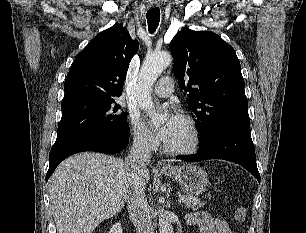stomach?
<instances>
[{
	"label": "stomach",
	"instance_id": "1",
	"mask_svg": "<svg viewBox=\"0 0 306 233\" xmlns=\"http://www.w3.org/2000/svg\"><path fill=\"white\" fill-rule=\"evenodd\" d=\"M161 172L173 178L187 194L193 196L204 193L209 184L207 173L195 164H183Z\"/></svg>",
	"mask_w": 306,
	"mask_h": 233
}]
</instances>
